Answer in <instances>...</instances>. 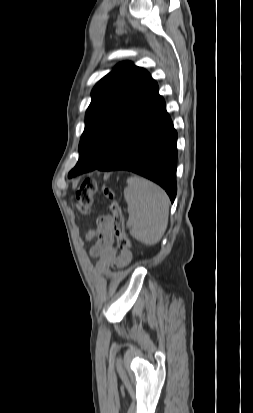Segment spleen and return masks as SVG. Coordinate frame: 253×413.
<instances>
[{"label": "spleen", "mask_w": 253, "mask_h": 413, "mask_svg": "<svg viewBox=\"0 0 253 413\" xmlns=\"http://www.w3.org/2000/svg\"><path fill=\"white\" fill-rule=\"evenodd\" d=\"M124 198L131 236L146 245L158 243L168 225L170 200L166 192L147 179L131 176L127 179Z\"/></svg>", "instance_id": "obj_1"}]
</instances>
